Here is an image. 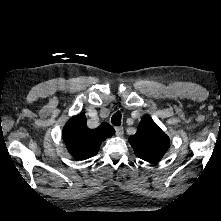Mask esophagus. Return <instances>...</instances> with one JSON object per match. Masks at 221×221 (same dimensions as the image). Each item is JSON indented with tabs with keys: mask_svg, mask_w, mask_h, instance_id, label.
Listing matches in <instances>:
<instances>
[{
	"mask_svg": "<svg viewBox=\"0 0 221 221\" xmlns=\"http://www.w3.org/2000/svg\"><path fill=\"white\" fill-rule=\"evenodd\" d=\"M115 131L117 136H122L124 133L123 127H115Z\"/></svg>",
	"mask_w": 221,
	"mask_h": 221,
	"instance_id": "34e87169",
	"label": "esophagus"
}]
</instances>
